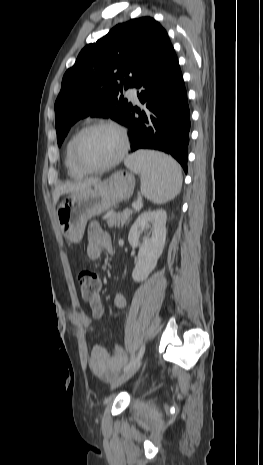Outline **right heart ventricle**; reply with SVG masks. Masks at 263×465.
I'll list each match as a JSON object with an SVG mask.
<instances>
[{
	"mask_svg": "<svg viewBox=\"0 0 263 465\" xmlns=\"http://www.w3.org/2000/svg\"><path fill=\"white\" fill-rule=\"evenodd\" d=\"M76 133L72 134L68 139L64 150V165L68 175L74 179H80L87 175L86 172L80 170L75 164L72 157V144Z\"/></svg>",
	"mask_w": 263,
	"mask_h": 465,
	"instance_id": "right-heart-ventricle-1",
	"label": "right heart ventricle"
}]
</instances>
